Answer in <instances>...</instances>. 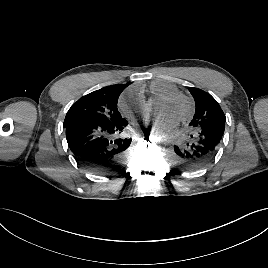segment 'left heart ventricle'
Returning a JSON list of instances; mask_svg holds the SVG:
<instances>
[{
    "mask_svg": "<svg viewBox=\"0 0 268 268\" xmlns=\"http://www.w3.org/2000/svg\"><path fill=\"white\" fill-rule=\"evenodd\" d=\"M186 111L184 101L178 99L171 102L158 101L155 106V112L161 114H169L178 120Z\"/></svg>",
    "mask_w": 268,
    "mask_h": 268,
    "instance_id": "1",
    "label": "left heart ventricle"
}]
</instances>
